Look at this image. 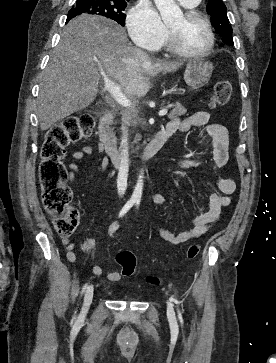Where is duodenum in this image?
<instances>
[{
	"label": "duodenum",
	"instance_id": "duodenum-1",
	"mask_svg": "<svg viewBox=\"0 0 276 363\" xmlns=\"http://www.w3.org/2000/svg\"><path fill=\"white\" fill-rule=\"evenodd\" d=\"M113 118L114 113L110 110L100 113L97 134L101 147L105 151L107 157L114 166H118L123 159V154L117 149L110 135L109 129ZM168 138L169 135L167 133L158 132L151 138L143 150L134 155V158L147 159L152 157L161 149Z\"/></svg>",
	"mask_w": 276,
	"mask_h": 363
}]
</instances>
